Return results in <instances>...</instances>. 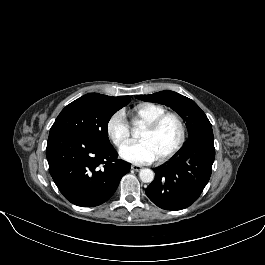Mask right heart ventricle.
Listing matches in <instances>:
<instances>
[{
  "label": "right heart ventricle",
  "mask_w": 265,
  "mask_h": 265,
  "mask_svg": "<svg viewBox=\"0 0 265 265\" xmlns=\"http://www.w3.org/2000/svg\"><path fill=\"white\" fill-rule=\"evenodd\" d=\"M166 112L167 110L160 105L141 103L131 110V123L133 126H144Z\"/></svg>",
  "instance_id": "right-heart-ventricle-1"
}]
</instances>
